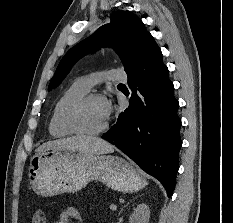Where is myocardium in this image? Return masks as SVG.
<instances>
[{
	"instance_id": "myocardium-1",
	"label": "myocardium",
	"mask_w": 233,
	"mask_h": 223,
	"mask_svg": "<svg viewBox=\"0 0 233 223\" xmlns=\"http://www.w3.org/2000/svg\"><path fill=\"white\" fill-rule=\"evenodd\" d=\"M101 98L99 94L89 93L84 95L83 97L75 100L67 109L65 113V124L67 128L76 135L83 137H95L104 133L108 127L109 122L106 123L97 131L88 132L80 128L78 125V115L81 109L91 100Z\"/></svg>"
}]
</instances>
